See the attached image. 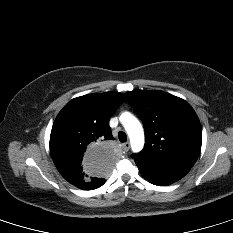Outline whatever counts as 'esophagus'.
<instances>
[{
  "mask_svg": "<svg viewBox=\"0 0 233 233\" xmlns=\"http://www.w3.org/2000/svg\"><path fill=\"white\" fill-rule=\"evenodd\" d=\"M122 149L127 152L130 149V143L126 142L122 144Z\"/></svg>",
  "mask_w": 233,
  "mask_h": 233,
  "instance_id": "34e87169",
  "label": "esophagus"
}]
</instances>
